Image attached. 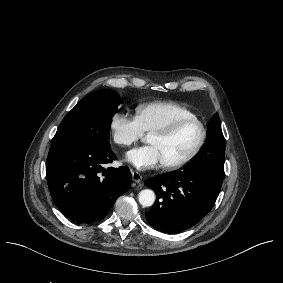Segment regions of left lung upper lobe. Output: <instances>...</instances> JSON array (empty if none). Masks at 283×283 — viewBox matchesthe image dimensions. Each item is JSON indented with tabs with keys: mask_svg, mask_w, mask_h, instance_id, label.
<instances>
[{
	"mask_svg": "<svg viewBox=\"0 0 283 283\" xmlns=\"http://www.w3.org/2000/svg\"><path fill=\"white\" fill-rule=\"evenodd\" d=\"M212 152L218 153L219 159L222 162L223 168L221 171H219L216 178L218 180L223 181L225 140L222 134L221 124L218 114H215L211 119L207 129L206 144L194 159L198 160L203 154L212 153Z\"/></svg>",
	"mask_w": 283,
	"mask_h": 283,
	"instance_id": "1",
	"label": "left lung upper lobe"
}]
</instances>
